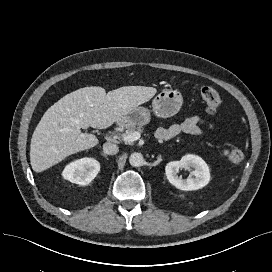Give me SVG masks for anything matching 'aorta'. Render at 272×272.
<instances>
[{
	"mask_svg": "<svg viewBox=\"0 0 272 272\" xmlns=\"http://www.w3.org/2000/svg\"><path fill=\"white\" fill-rule=\"evenodd\" d=\"M129 163L133 167H140L144 163V158L141 153L134 152L129 157Z\"/></svg>",
	"mask_w": 272,
	"mask_h": 272,
	"instance_id": "aorta-1",
	"label": "aorta"
}]
</instances>
